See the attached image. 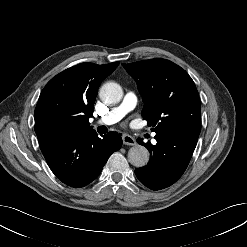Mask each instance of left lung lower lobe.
I'll return each mask as SVG.
<instances>
[{"instance_id": "obj_1", "label": "left lung lower lobe", "mask_w": 247, "mask_h": 247, "mask_svg": "<svg viewBox=\"0 0 247 247\" xmlns=\"http://www.w3.org/2000/svg\"><path fill=\"white\" fill-rule=\"evenodd\" d=\"M198 137L186 133L180 127H172L156 134V145L137 139L151 155L147 166L135 170L137 178L152 190H160L175 183L186 170Z\"/></svg>"}]
</instances>
